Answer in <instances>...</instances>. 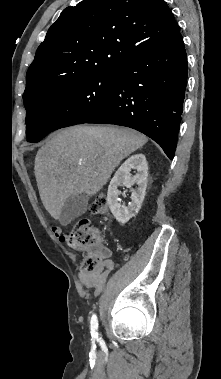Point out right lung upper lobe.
<instances>
[{
    "label": "right lung upper lobe",
    "instance_id": "right-lung-upper-lobe-1",
    "mask_svg": "<svg viewBox=\"0 0 221 379\" xmlns=\"http://www.w3.org/2000/svg\"><path fill=\"white\" fill-rule=\"evenodd\" d=\"M178 33L164 0H83L67 7L27 71L24 103L77 77L118 69Z\"/></svg>",
    "mask_w": 221,
    "mask_h": 379
}]
</instances>
